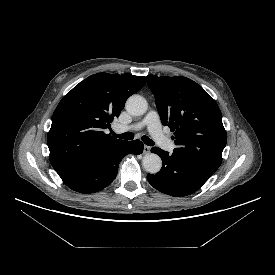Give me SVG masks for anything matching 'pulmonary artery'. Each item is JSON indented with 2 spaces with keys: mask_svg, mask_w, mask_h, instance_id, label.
<instances>
[{
  "mask_svg": "<svg viewBox=\"0 0 275 275\" xmlns=\"http://www.w3.org/2000/svg\"><path fill=\"white\" fill-rule=\"evenodd\" d=\"M143 127H147L154 141L163 149L172 151L174 148L173 142L168 139L162 132L159 115L156 111H150L145 118L134 125L125 126L117 125L115 127L116 132H124L127 130H140Z\"/></svg>",
  "mask_w": 275,
  "mask_h": 275,
  "instance_id": "obj_1",
  "label": "pulmonary artery"
}]
</instances>
